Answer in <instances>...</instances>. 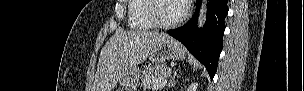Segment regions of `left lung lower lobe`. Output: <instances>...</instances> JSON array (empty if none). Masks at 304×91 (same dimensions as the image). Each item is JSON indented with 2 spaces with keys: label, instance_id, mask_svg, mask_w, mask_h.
Returning <instances> with one entry per match:
<instances>
[{
  "label": "left lung lower lobe",
  "instance_id": "left-lung-lower-lobe-1",
  "mask_svg": "<svg viewBox=\"0 0 304 91\" xmlns=\"http://www.w3.org/2000/svg\"><path fill=\"white\" fill-rule=\"evenodd\" d=\"M228 0H209L207 20L203 29L197 28L201 1L196 0V10L184 26L169 30L168 34L179 40L207 69L211 80L223 47L224 19L228 14Z\"/></svg>",
  "mask_w": 304,
  "mask_h": 91
}]
</instances>
